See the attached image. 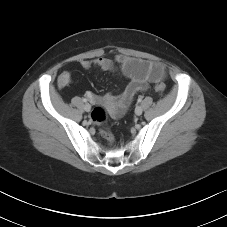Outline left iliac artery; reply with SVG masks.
<instances>
[{
    "mask_svg": "<svg viewBox=\"0 0 227 227\" xmlns=\"http://www.w3.org/2000/svg\"><path fill=\"white\" fill-rule=\"evenodd\" d=\"M142 101V98H138V102L140 103Z\"/></svg>",
    "mask_w": 227,
    "mask_h": 227,
    "instance_id": "1",
    "label": "left iliac artery"
}]
</instances>
